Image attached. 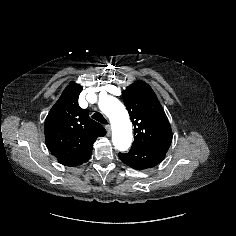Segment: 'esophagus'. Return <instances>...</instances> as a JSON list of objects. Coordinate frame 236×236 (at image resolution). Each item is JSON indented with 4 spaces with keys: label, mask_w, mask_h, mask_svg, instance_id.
I'll return each mask as SVG.
<instances>
[{
    "label": "esophagus",
    "mask_w": 236,
    "mask_h": 236,
    "mask_svg": "<svg viewBox=\"0 0 236 236\" xmlns=\"http://www.w3.org/2000/svg\"><path fill=\"white\" fill-rule=\"evenodd\" d=\"M107 135L109 136L111 134V127L110 125H106Z\"/></svg>",
    "instance_id": "34e87169"
}]
</instances>
